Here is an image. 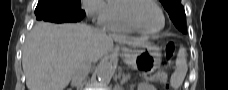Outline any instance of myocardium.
I'll use <instances>...</instances> for the list:
<instances>
[{"label":"myocardium","instance_id":"1","mask_svg":"<svg viewBox=\"0 0 228 90\" xmlns=\"http://www.w3.org/2000/svg\"><path fill=\"white\" fill-rule=\"evenodd\" d=\"M144 2L153 4L159 10L161 17H162V25L159 29H157V30L146 29L135 18V16H134L135 9L138 7L139 4L144 3ZM124 18L133 27H135L139 31H141L143 33H147V34H153V33H158L160 31H162L166 24L165 14H164L162 8L154 0H130V3L124 9Z\"/></svg>","mask_w":228,"mask_h":90}]
</instances>
